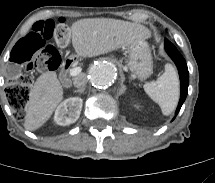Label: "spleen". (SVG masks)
<instances>
[{
    "label": "spleen",
    "mask_w": 215,
    "mask_h": 183,
    "mask_svg": "<svg viewBox=\"0 0 215 183\" xmlns=\"http://www.w3.org/2000/svg\"><path fill=\"white\" fill-rule=\"evenodd\" d=\"M144 90L164 115L171 114L179 99V79L174 66L165 65V72L156 81L145 83Z\"/></svg>",
    "instance_id": "3e777b00"
}]
</instances>
